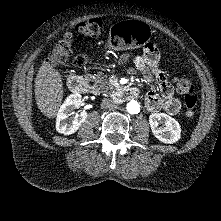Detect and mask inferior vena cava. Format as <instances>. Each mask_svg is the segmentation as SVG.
Wrapping results in <instances>:
<instances>
[{"label": "inferior vena cava", "instance_id": "inferior-vena-cava-1", "mask_svg": "<svg viewBox=\"0 0 221 221\" xmlns=\"http://www.w3.org/2000/svg\"><path fill=\"white\" fill-rule=\"evenodd\" d=\"M101 107L103 109L113 110V109L117 108V105L114 100L109 99V98H104L102 100Z\"/></svg>", "mask_w": 221, "mask_h": 221}]
</instances>
